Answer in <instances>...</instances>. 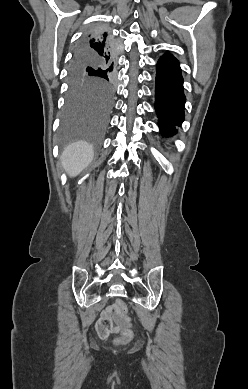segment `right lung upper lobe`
Segmentation results:
<instances>
[{
  "label": "right lung upper lobe",
  "mask_w": 248,
  "mask_h": 389,
  "mask_svg": "<svg viewBox=\"0 0 248 389\" xmlns=\"http://www.w3.org/2000/svg\"><path fill=\"white\" fill-rule=\"evenodd\" d=\"M102 33H106V32H102ZM99 40H103L100 37V31H94V32L90 33L85 38V48H87L92 53L93 58L100 59V60H103L105 62L113 64V60H114L115 54H116L114 44L111 43L110 47L107 49V51H105V50L102 51L98 47L105 49L104 46L106 45V41H104V40H103L104 43H100L99 46H95L97 48L93 47L95 42H97ZM97 49H99V50H97Z\"/></svg>",
  "instance_id": "obj_1"
}]
</instances>
